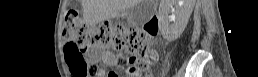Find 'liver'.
I'll return each instance as SVG.
<instances>
[{
	"label": "liver",
	"instance_id": "6515ba94",
	"mask_svg": "<svg viewBox=\"0 0 258 77\" xmlns=\"http://www.w3.org/2000/svg\"><path fill=\"white\" fill-rule=\"evenodd\" d=\"M141 0H82L83 17L86 23L96 25L107 19L120 17L128 9L135 7ZM188 2V0H185ZM193 2V0H191ZM176 0H161L162 4H175ZM183 13L182 21H185Z\"/></svg>",
	"mask_w": 258,
	"mask_h": 77
}]
</instances>
